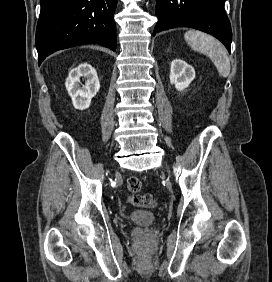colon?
Listing matches in <instances>:
<instances>
[{"instance_id": "5ec220e1", "label": "colon", "mask_w": 272, "mask_h": 282, "mask_svg": "<svg viewBox=\"0 0 272 282\" xmlns=\"http://www.w3.org/2000/svg\"><path fill=\"white\" fill-rule=\"evenodd\" d=\"M127 186L130 192L136 194L131 198V203L144 208H153L156 205V200L152 194H137L140 192L142 183L137 177H131L127 181Z\"/></svg>"}]
</instances>
